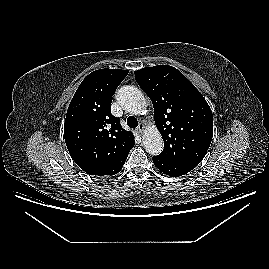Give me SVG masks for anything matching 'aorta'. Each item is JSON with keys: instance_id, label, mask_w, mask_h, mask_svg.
<instances>
[{"instance_id": "aorta-1", "label": "aorta", "mask_w": 269, "mask_h": 269, "mask_svg": "<svg viewBox=\"0 0 269 269\" xmlns=\"http://www.w3.org/2000/svg\"><path fill=\"white\" fill-rule=\"evenodd\" d=\"M117 100L129 113L140 114L146 107L144 94L134 86H124L117 92ZM143 145L151 155H159L163 150V139L156 127L147 129L143 134Z\"/></svg>"}]
</instances>
